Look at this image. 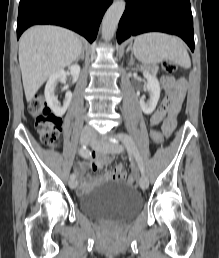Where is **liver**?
Returning a JSON list of instances; mask_svg holds the SVG:
<instances>
[{"label": "liver", "instance_id": "liver-1", "mask_svg": "<svg viewBox=\"0 0 219 258\" xmlns=\"http://www.w3.org/2000/svg\"><path fill=\"white\" fill-rule=\"evenodd\" d=\"M82 42L67 29L34 26L23 33L19 42V64L26 100L54 73L73 63L82 52Z\"/></svg>", "mask_w": 219, "mask_h": 258}]
</instances>
